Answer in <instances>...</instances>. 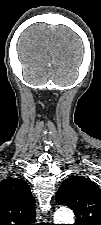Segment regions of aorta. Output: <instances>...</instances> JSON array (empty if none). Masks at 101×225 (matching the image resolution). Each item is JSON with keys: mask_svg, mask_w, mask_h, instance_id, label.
<instances>
[{"mask_svg": "<svg viewBox=\"0 0 101 225\" xmlns=\"http://www.w3.org/2000/svg\"><path fill=\"white\" fill-rule=\"evenodd\" d=\"M54 223L55 224H73L74 223L73 212L69 208L60 207L54 214Z\"/></svg>", "mask_w": 101, "mask_h": 225, "instance_id": "1", "label": "aorta"}]
</instances>
